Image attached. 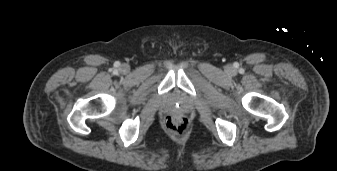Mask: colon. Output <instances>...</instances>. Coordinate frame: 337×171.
<instances>
[{"label":"colon","instance_id":"obj_1","mask_svg":"<svg viewBox=\"0 0 337 171\" xmlns=\"http://www.w3.org/2000/svg\"><path fill=\"white\" fill-rule=\"evenodd\" d=\"M165 126L169 131L181 134L188 128V120L181 116H168L165 119Z\"/></svg>","mask_w":337,"mask_h":171}]
</instances>
